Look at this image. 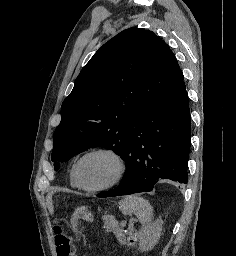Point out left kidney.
<instances>
[{
  "mask_svg": "<svg viewBox=\"0 0 236 256\" xmlns=\"http://www.w3.org/2000/svg\"><path fill=\"white\" fill-rule=\"evenodd\" d=\"M162 224V220H156L155 224L144 226L142 232L138 234L140 240L139 250H142V252L153 250L160 238Z\"/></svg>",
  "mask_w": 236,
  "mask_h": 256,
  "instance_id": "5707ae66",
  "label": "left kidney"
}]
</instances>
